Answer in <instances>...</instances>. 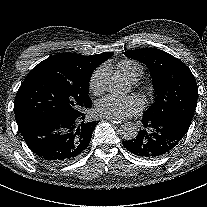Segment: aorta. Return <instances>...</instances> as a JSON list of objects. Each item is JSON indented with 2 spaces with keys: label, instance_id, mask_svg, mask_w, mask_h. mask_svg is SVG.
I'll return each mask as SVG.
<instances>
[{
  "label": "aorta",
  "instance_id": "1",
  "mask_svg": "<svg viewBox=\"0 0 207 207\" xmlns=\"http://www.w3.org/2000/svg\"><path fill=\"white\" fill-rule=\"evenodd\" d=\"M102 83L105 90L113 94L124 93L128 87L125 77L119 72L106 74L103 76ZM138 132L139 128L132 122H126L120 128V135L124 140L134 139Z\"/></svg>",
  "mask_w": 207,
  "mask_h": 207
}]
</instances>
